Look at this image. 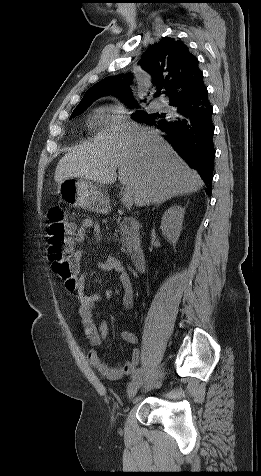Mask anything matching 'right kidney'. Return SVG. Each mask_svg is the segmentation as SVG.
I'll return each instance as SVG.
<instances>
[{
  "label": "right kidney",
  "instance_id": "1",
  "mask_svg": "<svg viewBox=\"0 0 261 476\" xmlns=\"http://www.w3.org/2000/svg\"><path fill=\"white\" fill-rule=\"evenodd\" d=\"M185 208L179 205L171 206L166 210L161 220L162 234L172 244H176L182 230Z\"/></svg>",
  "mask_w": 261,
  "mask_h": 476
}]
</instances>
